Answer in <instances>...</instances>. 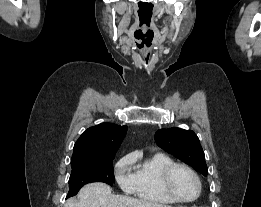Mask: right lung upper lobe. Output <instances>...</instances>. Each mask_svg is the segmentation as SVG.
<instances>
[{
  "instance_id": "obj_1",
  "label": "right lung upper lobe",
  "mask_w": 261,
  "mask_h": 207,
  "mask_svg": "<svg viewBox=\"0 0 261 207\" xmlns=\"http://www.w3.org/2000/svg\"><path fill=\"white\" fill-rule=\"evenodd\" d=\"M126 132L127 126L113 123H101L88 128L74 145L71 165L115 157Z\"/></svg>"
}]
</instances>
